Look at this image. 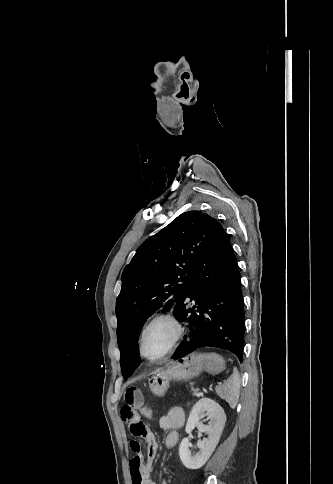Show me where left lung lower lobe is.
I'll return each mask as SVG.
<instances>
[{
	"label": "left lung lower lobe",
	"instance_id": "1",
	"mask_svg": "<svg viewBox=\"0 0 333 484\" xmlns=\"http://www.w3.org/2000/svg\"><path fill=\"white\" fill-rule=\"evenodd\" d=\"M187 298L196 306L178 301L174 315L190 324V335L180 343L172 359L199 347L229 350L240 361L244 346V300L238 264L229 237L214 219L187 274Z\"/></svg>",
	"mask_w": 333,
	"mask_h": 484
}]
</instances>
